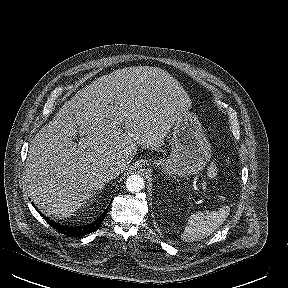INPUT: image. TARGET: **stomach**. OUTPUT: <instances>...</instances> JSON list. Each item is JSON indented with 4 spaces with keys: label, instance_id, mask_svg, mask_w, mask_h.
Segmentation results:
<instances>
[{
    "label": "stomach",
    "instance_id": "0dacf381",
    "mask_svg": "<svg viewBox=\"0 0 288 288\" xmlns=\"http://www.w3.org/2000/svg\"><path fill=\"white\" fill-rule=\"evenodd\" d=\"M210 152V144L198 117L185 112L174 123L169 157L154 160L151 164L170 176L190 177L204 169L210 160Z\"/></svg>",
    "mask_w": 288,
    "mask_h": 288
}]
</instances>
